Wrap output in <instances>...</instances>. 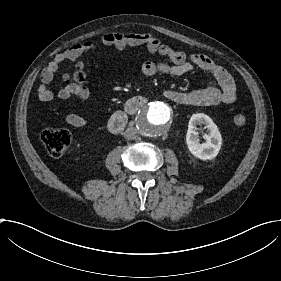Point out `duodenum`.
Listing matches in <instances>:
<instances>
[{"instance_id": "1", "label": "duodenum", "mask_w": 281, "mask_h": 281, "mask_svg": "<svg viewBox=\"0 0 281 281\" xmlns=\"http://www.w3.org/2000/svg\"><path fill=\"white\" fill-rule=\"evenodd\" d=\"M146 103L147 99L143 96H135L127 100L123 108L111 116L108 122L109 130L112 133H120L127 125L129 116L139 111Z\"/></svg>"}]
</instances>
